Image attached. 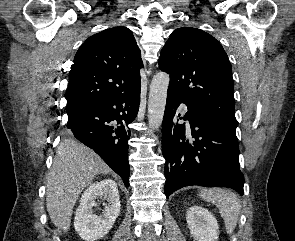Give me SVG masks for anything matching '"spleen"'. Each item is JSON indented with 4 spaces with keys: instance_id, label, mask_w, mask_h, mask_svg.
I'll use <instances>...</instances> for the list:
<instances>
[{
    "instance_id": "3e777b00",
    "label": "spleen",
    "mask_w": 295,
    "mask_h": 241,
    "mask_svg": "<svg viewBox=\"0 0 295 241\" xmlns=\"http://www.w3.org/2000/svg\"><path fill=\"white\" fill-rule=\"evenodd\" d=\"M199 196L208 202H212L219 208L227 233H233L241 208L238 197L231 191L222 188L203 189Z\"/></svg>"
}]
</instances>
